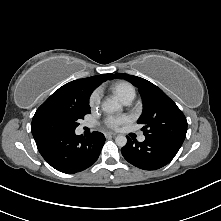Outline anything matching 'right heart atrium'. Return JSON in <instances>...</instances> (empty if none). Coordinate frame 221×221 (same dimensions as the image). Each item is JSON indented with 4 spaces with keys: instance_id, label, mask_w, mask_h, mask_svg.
<instances>
[{
    "instance_id": "obj_1",
    "label": "right heart atrium",
    "mask_w": 221,
    "mask_h": 221,
    "mask_svg": "<svg viewBox=\"0 0 221 221\" xmlns=\"http://www.w3.org/2000/svg\"><path fill=\"white\" fill-rule=\"evenodd\" d=\"M101 93L99 89L94 90L89 96L90 107H95L100 103Z\"/></svg>"
}]
</instances>
